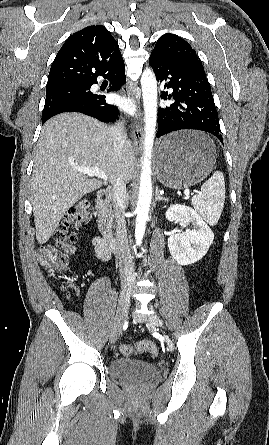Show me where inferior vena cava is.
<instances>
[{
  "label": "inferior vena cava",
  "instance_id": "602c4592",
  "mask_svg": "<svg viewBox=\"0 0 269 445\" xmlns=\"http://www.w3.org/2000/svg\"><path fill=\"white\" fill-rule=\"evenodd\" d=\"M110 134L113 138V146L116 155L119 157L122 152V148L127 139V133L125 129V122L119 121L110 128ZM114 202L116 203V240L118 243L119 259L121 266V275L123 280H134L136 277L134 271V265L132 261L131 251L127 238L126 222L123 216V204L126 199V183L120 177L117 176L114 182Z\"/></svg>",
  "mask_w": 269,
  "mask_h": 445
}]
</instances>
